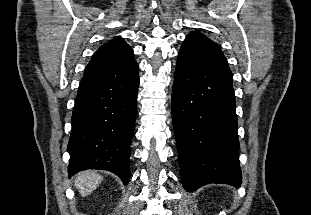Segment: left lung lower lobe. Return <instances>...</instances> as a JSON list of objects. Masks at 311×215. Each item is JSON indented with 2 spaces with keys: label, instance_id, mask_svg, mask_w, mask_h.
Here are the masks:
<instances>
[{
  "label": "left lung lower lobe",
  "instance_id": "obj_1",
  "mask_svg": "<svg viewBox=\"0 0 311 215\" xmlns=\"http://www.w3.org/2000/svg\"><path fill=\"white\" fill-rule=\"evenodd\" d=\"M232 83L220 47L204 35H188L175 70L172 118L182 184L189 192L209 183L241 184Z\"/></svg>",
  "mask_w": 311,
  "mask_h": 215
}]
</instances>
